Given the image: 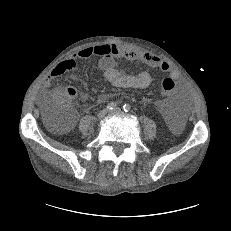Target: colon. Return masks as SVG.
<instances>
[{"instance_id": "1", "label": "colon", "mask_w": 231, "mask_h": 231, "mask_svg": "<svg viewBox=\"0 0 231 231\" xmlns=\"http://www.w3.org/2000/svg\"><path fill=\"white\" fill-rule=\"evenodd\" d=\"M160 92L166 96H173L177 92L175 80L170 75H165L160 80ZM75 89L66 88L63 92L52 95L45 107V118L54 129L69 127L70 120L75 116L69 101L75 96Z\"/></svg>"}]
</instances>
